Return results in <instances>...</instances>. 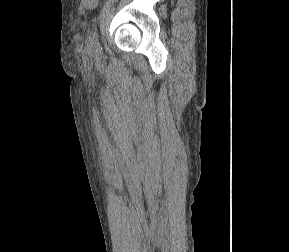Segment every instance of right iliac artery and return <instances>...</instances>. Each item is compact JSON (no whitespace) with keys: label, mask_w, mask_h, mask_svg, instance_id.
Instances as JSON below:
<instances>
[{"label":"right iliac artery","mask_w":289,"mask_h":252,"mask_svg":"<svg viewBox=\"0 0 289 252\" xmlns=\"http://www.w3.org/2000/svg\"><path fill=\"white\" fill-rule=\"evenodd\" d=\"M92 44H93V47H94V50L97 54H101V46H100V43H99V40H98V36H97V32L95 31L93 33V37H92Z\"/></svg>","instance_id":"82829eb1"}]
</instances>
